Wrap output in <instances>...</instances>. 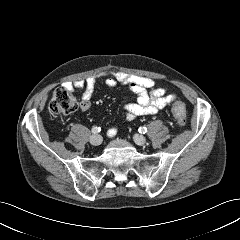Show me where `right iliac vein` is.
Segmentation results:
<instances>
[{
  "mask_svg": "<svg viewBox=\"0 0 240 240\" xmlns=\"http://www.w3.org/2000/svg\"><path fill=\"white\" fill-rule=\"evenodd\" d=\"M103 141V138L99 134L92 135L90 137V143L94 146H99Z\"/></svg>",
  "mask_w": 240,
  "mask_h": 240,
  "instance_id": "obj_1",
  "label": "right iliac vein"
}]
</instances>
